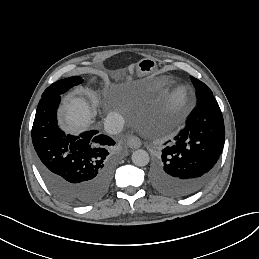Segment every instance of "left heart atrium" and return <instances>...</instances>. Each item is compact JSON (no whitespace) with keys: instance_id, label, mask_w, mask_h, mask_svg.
<instances>
[{"instance_id":"1","label":"left heart atrium","mask_w":259,"mask_h":259,"mask_svg":"<svg viewBox=\"0 0 259 259\" xmlns=\"http://www.w3.org/2000/svg\"><path fill=\"white\" fill-rule=\"evenodd\" d=\"M177 150H178L177 147H173V148L170 149L171 152H175Z\"/></svg>"}]
</instances>
